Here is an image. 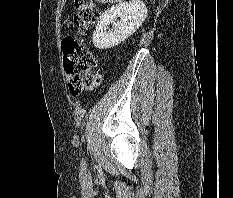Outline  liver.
<instances>
[{
  "label": "liver",
  "instance_id": "liver-1",
  "mask_svg": "<svg viewBox=\"0 0 233 198\" xmlns=\"http://www.w3.org/2000/svg\"><path fill=\"white\" fill-rule=\"evenodd\" d=\"M95 1H97V2H99V3L105 4V3H118V2H123L124 0H95Z\"/></svg>",
  "mask_w": 233,
  "mask_h": 198
}]
</instances>
